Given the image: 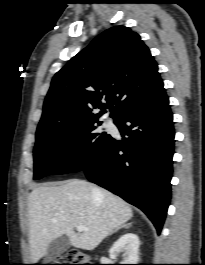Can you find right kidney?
<instances>
[{"mask_svg": "<svg viewBox=\"0 0 205 265\" xmlns=\"http://www.w3.org/2000/svg\"><path fill=\"white\" fill-rule=\"evenodd\" d=\"M140 241L136 234L126 233L122 235L110 248L109 255L116 258L120 252H124V260L121 264H137Z\"/></svg>", "mask_w": 205, "mask_h": 265, "instance_id": "ca27d5eb", "label": "right kidney"}]
</instances>
